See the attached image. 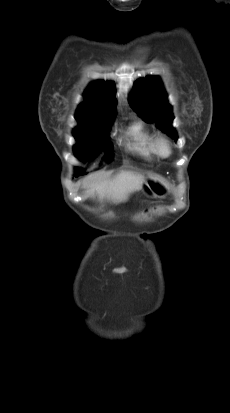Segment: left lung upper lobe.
<instances>
[{"label": "left lung upper lobe", "instance_id": "1", "mask_svg": "<svg viewBox=\"0 0 230 413\" xmlns=\"http://www.w3.org/2000/svg\"><path fill=\"white\" fill-rule=\"evenodd\" d=\"M167 98L159 77L147 76L134 84L129 103L146 122H155L157 127L176 141L178 136L172 127V107Z\"/></svg>", "mask_w": 230, "mask_h": 413}]
</instances>
